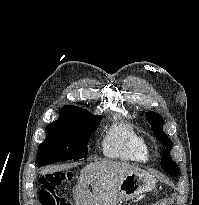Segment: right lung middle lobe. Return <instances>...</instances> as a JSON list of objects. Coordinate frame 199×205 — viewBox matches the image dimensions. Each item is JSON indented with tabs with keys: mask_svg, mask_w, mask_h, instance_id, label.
I'll return each mask as SVG.
<instances>
[{
	"mask_svg": "<svg viewBox=\"0 0 199 205\" xmlns=\"http://www.w3.org/2000/svg\"><path fill=\"white\" fill-rule=\"evenodd\" d=\"M101 119L102 116L93 115L80 107L62 108L59 119L46 127V139L37 152V166L85 158L88 153L87 142Z\"/></svg>",
	"mask_w": 199,
	"mask_h": 205,
	"instance_id": "obj_1",
	"label": "right lung middle lobe"
}]
</instances>
